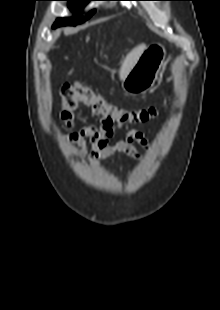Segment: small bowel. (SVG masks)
Returning <instances> with one entry per match:
<instances>
[{"instance_id":"c3829d8e","label":"small bowel","mask_w":220,"mask_h":310,"mask_svg":"<svg viewBox=\"0 0 220 310\" xmlns=\"http://www.w3.org/2000/svg\"><path fill=\"white\" fill-rule=\"evenodd\" d=\"M113 133V128L103 125L100 127L88 126L71 134L68 137V141L77 144L80 147L77 153L80 156H85L87 154L86 140L88 139L93 146L88 157L89 161L92 162H97L116 153L125 154L135 160H141L142 154L134 146V143L139 144L145 150H149L150 148L147 138L138 130H130L125 140L109 145L108 138L111 137Z\"/></svg>"}]
</instances>
